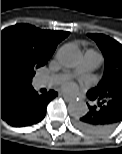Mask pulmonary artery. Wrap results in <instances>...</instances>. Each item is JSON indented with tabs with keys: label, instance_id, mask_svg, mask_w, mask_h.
<instances>
[{
	"label": "pulmonary artery",
	"instance_id": "pulmonary-artery-1",
	"mask_svg": "<svg viewBox=\"0 0 122 154\" xmlns=\"http://www.w3.org/2000/svg\"><path fill=\"white\" fill-rule=\"evenodd\" d=\"M101 62L102 57L97 51L91 49L86 50L77 71L80 74L91 72L99 67ZM53 81V78H38L35 82V86L37 88L48 87L53 83Z\"/></svg>",
	"mask_w": 122,
	"mask_h": 154
}]
</instances>
